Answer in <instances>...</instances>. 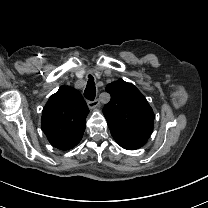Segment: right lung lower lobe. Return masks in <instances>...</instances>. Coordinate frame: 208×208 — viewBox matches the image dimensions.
I'll return each instance as SVG.
<instances>
[{"label": "right lung lower lobe", "mask_w": 208, "mask_h": 208, "mask_svg": "<svg viewBox=\"0 0 208 208\" xmlns=\"http://www.w3.org/2000/svg\"><path fill=\"white\" fill-rule=\"evenodd\" d=\"M81 138H82V136H80V137H78L68 143L62 144V145L58 146L57 148L61 149V150H69V149L73 148L74 146H76L79 143V141L81 140Z\"/></svg>", "instance_id": "obj_1"}]
</instances>
